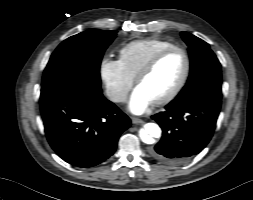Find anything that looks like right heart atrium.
Masks as SVG:
<instances>
[{"mask_svg":"<svg viewBox=\"0 0 253 200\" xmlns=\"http://www.w3.org/2000/svg\"><path fill=\"white\" fill-rule=\"evenodd\" d=\"M99 77L112 102L122 103L126 100L133 86V78L126 73L118 59L103 58L99 64Z\"/></svg>","mask_w":253,"mask_h":200,"instance_id":"1","label":"right heart atrium"}]
</instances>
